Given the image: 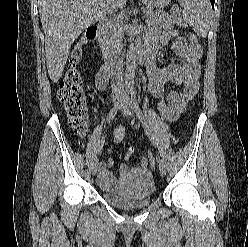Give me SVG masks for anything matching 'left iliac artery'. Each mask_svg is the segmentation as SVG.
Returning <instances> with one entry per match:
<instances>
[{
    "mask_svg": "<svg viewBox=\"0 0 248 247\" xmlns=\"http://www.w3.org/2000/svg\"><path fill=\"white\" fill-rule=\"evenodd\" d=\"M131 100H132V105H133L134 111H135L137 117L141 120V122H142V124L144 126L146 134L150 137L152 143L155 145V141H154V138L151 135L147 120L144 117L141 109L138 106V103H137L136 97L134 95V92L131 93Z\"/></svg>",
    "mask_w": 248,
    "mask_h": 247,
    "instance_id": "1",
    "label": "left iliac artery"
}]
</instances>
